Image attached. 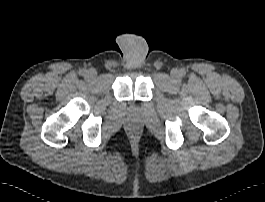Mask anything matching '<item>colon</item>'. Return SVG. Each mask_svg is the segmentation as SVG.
Here are the masks:
<instances>
[{
    "label": "colon",
    "mask_w": 265,
    "mask_h": 202,
    "mask_svg": "<svg viewBox=\"0 0 265 202\" xmlns=\"http://www.w3.org/2000/svg\"><path fill=\"white\" fill-rule=\"evenodd\" d=\"M132 138H133L134 140H137V139H138V135L135 134V133H133V134H132Z\"/></svg>",
    "instance_id": "5ec220e1"
}]
</instances>
